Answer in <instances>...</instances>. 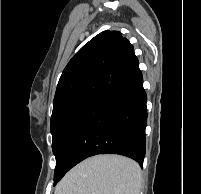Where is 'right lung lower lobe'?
Here are the masks:
<instances>
[{"mask_svg": "<svg viewBox=\"0 0 201 194\" xmlns=\"http://www.w3.org/2000/svg\"><path fill=\"white\" fill-rule=\"evenodd\" d=\"M146 102L139 67L99 94L63 132L55 151L54 185L77 163L97 154L123 155L142 167Z\"/></svg>", "mask_w": 201, "mask_h": 194, "instance_id": "obj_1", "label": "right lung lower lobe"}]
</instances>
